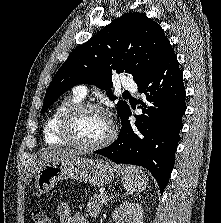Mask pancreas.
<instances>
[{"instance_id": "obj_1", "label": "pancreas", "mask_w": 221, "mask_h": 223, "mask_svg": "<svg viewBox=\"0 0 221 223\" xmlns=\"http://www.w3.org/2000/svg\"><path fill=\"white\" fill-rule=\"evenodd\" d=\"M107 197L100 195H94L91 197L86 205L87 212L90 213V216L96 217L99 215L100 211L103 208V205L106 204Z\"/></svg>"}]
</instances>
